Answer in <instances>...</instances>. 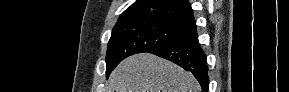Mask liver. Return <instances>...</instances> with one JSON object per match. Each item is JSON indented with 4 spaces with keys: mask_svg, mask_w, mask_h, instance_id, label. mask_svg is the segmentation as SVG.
<instances>
[{
    "mask_svg": "<svg viewBox=\"0 0 289 92\" xmlns=\"http://www.w3.org/2000/svg\"><path fill=\"white\" fill-rule=\"evenodd\" d=\"M107 92H200L192 73L150 53L122 61L111 73Z\"/></svg>",
    "mask_w": 289,
    "mask_h": 92,
    "instance_id": "obj_1",
    "label": "liver"
}]
</instances>
